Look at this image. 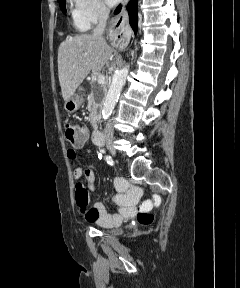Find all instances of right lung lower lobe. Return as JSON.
Here are the masks:
<instances>
[{"mask_svg": "<svg viewBox=\"0 0 240 288\" xmlns=\"http://www.w3.org/2000/svg\"><path fill=\"white\" fill-rule=\"evenodd\" d=\"M121 10V5H119L116 10L115 14H118ZM127 10L129 13V22L131 27L133 28L134 32L137 31V22H138V12H137V0H130Z\"/></svg>", "mask_w": 240, "mask_h": 288, "instance_id": "obj_1", "label": "right lung lower lobe"}]
</instances>
